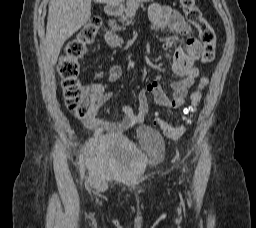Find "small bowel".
<instances>
[{
    "label": "small bowel",
    "instance_id": "c3829d8e",
    "mask_svg": "<svg viewBox=\"0 0 256 228\" xmlns=\"http://www.w3.org/2000/svg\"><path fill=\"white\" fill-rule=\"evenodd\" d=\"M150 21L152 30L169 29L184 37L181 45L174 51L172 62V71L180 79L171 84L172 95L168 96L160 85V78H154L138 93L136 110L128 105L123 107L124 118L121 122L114 123L95 117L87 119L85 121L86 125L96 132L121 133L142 124L148 114L149 94L162 107L174 109L181 107L184 104L189 88L199 75V70L195 63L201 55V43L193 36L191 27L184 17L171 7L155 4L150 8ZM172 45L173 41L166 40L163 48L170 49ZM121 76V67L116 64H110L108 68L109 81H117ZM89 91L97 96L103 104H106L112 96V93L106 91L102 84L90 86Z\"/></svg>",
    "mask_w": 256,
    "mask_h": 228
}]
</instances>
